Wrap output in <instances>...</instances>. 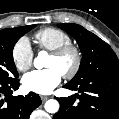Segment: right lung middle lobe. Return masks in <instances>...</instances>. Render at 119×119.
<instances>
[{"label":"right lung middle lobe","instance_id":"dd1d6c3e","mask_svg":"<svg viewBox=\"0 0 119 119\" xmlns=\"http://www.w3.org/2000/svg\"><path fill=\"white\" fill-rule=\"evenodd\" d=\"M35 25L9 28L0 31V81L11 82L18 78L12 51L15 43Z\"/></svg>","mask_w":119,"mask_h":119}]
</instances>
